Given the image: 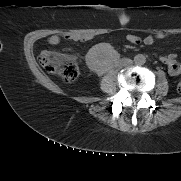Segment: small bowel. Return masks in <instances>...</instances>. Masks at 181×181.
Listing matches in <instances>:
<instances>
[{"mask_svg":"<svg viewBox=\"0 0 181 181\" xmlns=\"http://www.w3.org/2000/svg\"><path fill=\"white\" fill-rule=\"evenodd\" d=\"M65 39L74 40V41H88L92 39L91 35H80V34H65L63 36ZM166 38V34L157 33L155 35H147L144 38H140L135 35H128L127 40L132 44L144 43L145 45H152L156 40ZM61 41V36L52 35L48 38V43L50 45H58ZM161 62H163L167 68L168 72L172 76H178L181 74V63L177 61L175 54H169L160 57Z\"/></svg>","mask_w":181,"mask_h":181,"instance_id":"1","label":"small bowel"}]
</instances>
